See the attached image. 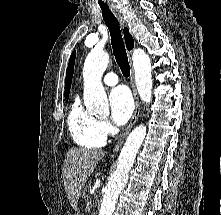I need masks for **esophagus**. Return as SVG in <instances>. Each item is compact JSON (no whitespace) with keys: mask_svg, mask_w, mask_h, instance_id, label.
I'll list each match as a JSON object with an SVG mask.
<instances>
[{"mask_svg":"<svg viewBox=\"0 0 221 215\" xmlns=\"http://www.w3.org/2000/svg\"><path fill=\"white\" fill-rule=\"evenodd\" d=\"M113 10H114V13H115L118 21L120 22V24L122 26H124L125 25V21L123 19V16H122L121 12L118 9H116V8H113ZM130 68H131L130 82H131L133 97H134V101H135V110L133 112V115L131 117V120H130L127 128L118 137V140H117V142L114 145V148L112 150V156H114V155H116L118 153V151L120 150V148H121V146H122L126 136L129 134L130 130L132 129V127L134 126V124L136 123V121L138 120V118L140 116V100H139V96H138L136 85H135V81H134V69H133V65H132L131 61H130Z\"/></svg>","mask_w":221,"mask_h":215,"instance_id":"obj_1","label":"esophagus"}]
</instances>
